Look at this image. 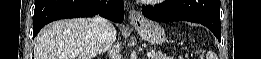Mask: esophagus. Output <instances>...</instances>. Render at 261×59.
<instances>
[{"mask_svg":"<svg viewBox=\"0 0 261 59\" xmlns=\"http://www.w3.org/2000/svg\"><path fill=\"white\" fill-rule=\"evenodd\" d=\"M129 19H130L131 23L134 25L141 24L142 22H144L143 15L135 9H130Z\"/></svg>","mask_w":261,"mask_h":59,"instance_id":"esophagus-1","label":"esophagus"}]
</instances>
